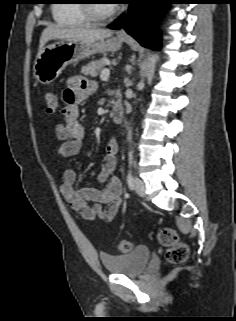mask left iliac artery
I'll list each match as a JSON object with an SVG mask.
<instances>
[{
  "label": "left iliac artery",
  "mask_w": 236,
  "mask_h": 321,
  "mask_svg": "<svg viewBox=\"0 0 236 321\" xmlns=\"http://www.w3.org/2000/svg\"><path fill=\"white\" fill-rule=\"evenodd\" d=\"M132 164H133V153L129 152V170L127 172V184L131 190L134 188L133 175L131 171Z\"/></svg>",
  "instance_id": "1"
}]
</instances>
